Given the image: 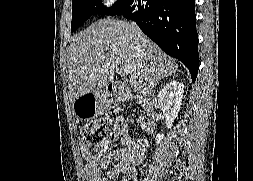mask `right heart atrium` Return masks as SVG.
I'll use <instances>...</instances> for the list:
<instances>
[{"label": "right heart atrium", "mask_w": 253, "mask_h": 181, "mask_svg": "<svg viewBox=\"0 0 253 181\" xmlns=\"http://www.w3.org/2000/svg\"><path fill=\"white\" fill-rule=\"evenodd\" d=\"M107 8L115 10L121 7L123 0H104Z\"/></svg>", "instance_id": "1"}]
</instances>
